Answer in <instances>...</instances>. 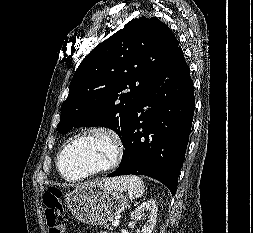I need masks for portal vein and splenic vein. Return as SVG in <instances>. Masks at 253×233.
I'll return each instance as SVG.
<instances>
[{"mask_svg":"<svg viewBox=\"0 0 253 233\" xmlns=\"http://www.w3.org/2000/svg\"><path fill=\"white\" fill-rule=\"evenodd\" d=\"M112 225H113L114 227H117V226L119 225V220H113V221H112Z\"/></svg>","mask_w":253,"mask_h":233,"instance_id":"18ae733b","label":"portal vein and splenic vein"}]
</instances>
